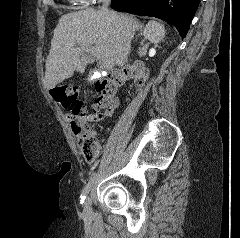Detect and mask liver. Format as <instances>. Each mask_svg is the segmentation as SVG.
<instances>
[{
    "instance_id": "6515ba94",
    "label": "liver",
    "mask_w": 240,
    "mask_h": 238,
    "mask_svg": "<svg viewBox=\"0 0 240 238\" xmlns=\"http://www.w3.org/2000/svg\"><path fill=\"white\" fill-rule=\"evenodd\" d=\"M140 28L131 15L89 8L63 15L53 32L51 48L46 58L44 87L52 89L73 76L84 72L96 56L87 49L96 48L113 65L122 67L128 62L131 50L130 35Z\"/></svg>"
}]
</instances>
